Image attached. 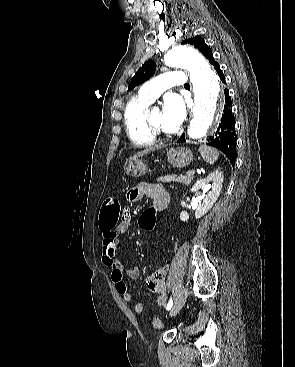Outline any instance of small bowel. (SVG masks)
<instances>
[{
    "mask_svg": "<svg viewBox=\"0 0 295 367\" xmlns=\"http://www.w3.org/2000/svg\"><path fill=\"white\" fill-rule=\"evenodd\" d=\"M144 196L151 198L154 206H156L157 202L167 204L169 201V196L162 185L147 182H142L129 190L127 200L135 203ZM121 213L123 216H121V222L119 224L111 229H101L103 235L102 262L111 270V280L115 285L116 291L122 296L124 302L131 303L133 298L127 289L124 275L135 279L139 276V269L135 265L124 267L116 256V250L119 243V236L128 230L134 210L133 208H122ZM167 271L168 266L164 265L160 269L151 272L146 279L148 288L158 294L157 305L159 306L164 305L166 301L165 278ZM142 310L143 305L141 303L137 302L134 304V311L136 313H141Z\"/></svg>",
    "mask_w": 295,
    "mask_h": 367,
    "instance_id": "1",
    "label": "small bowel"
}]
</instances>
